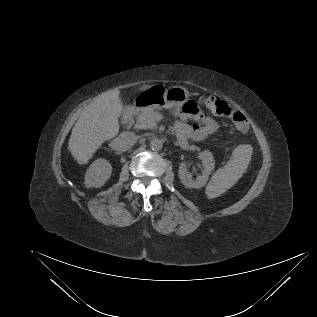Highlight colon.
Wrapping results in <instances>:
<instances>
[{
	"label": "colon",
	"mask_w": 317,
	"mask_h": 317,
	"mask_svg": "<svg viewBox=\"0 0 317 317\" xmlns=\"http://www.w3.org/2000/svg\"><path fill=\"white\" fill-rule=\"evenodd\" d=\"M201 103L212 112L219 116L228 117L233 120L238 129H243L248 126V121L240 112L232 109L224 100L215 96H205L201 98ZM190 104L183 107V111H190Z\"/></svg>",
	"instance_id": "colon-1"
}]
</instances>
